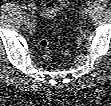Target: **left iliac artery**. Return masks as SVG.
Segmentation results:
<instances>
[{
	"instance_id": "44dca946",
	"label": "left iliac artery",
	"mask_w": 111,
	"mask_h": 106,
	"mask_svg": "<svg viewBox=\"0 0 111 106\" xmlns=\"http://www.w3.org/2000/svg\"><path fill=\"white\" fill-rule=\"evenodd\" d=\"M86 4H87V5H90V1H87Z\"/></svg>"
}]
</instances>
